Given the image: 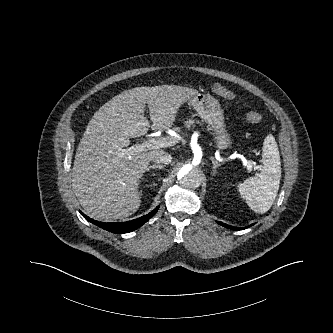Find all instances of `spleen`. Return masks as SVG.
Listing matches in <instances>:
<instances>
[{
    "mask_svg": "<svg viewBox=\"0 0 333 333\" xmlns=\"http://www.w3.org/2000/svg\"><path fill=\"white\" fill-rule=\"evenodd\" d=\"M263 169L237 185L248 206L256 213L267 212L274 203L281 180V161L275 138L268 135L263 144Z\"/></svg>",
    "mask_w": 333,
    "mask_h": 333,
    "instance_id": "obj_1",
    "label": "spleen"
}]
</instances>
